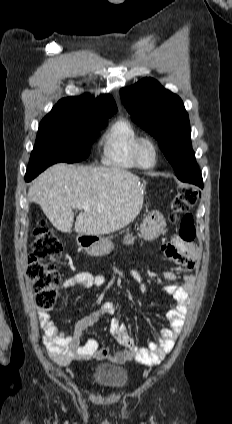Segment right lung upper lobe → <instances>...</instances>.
I'll use <instances>...</instances> for the list:
<instances>
[{"instance_id":"right-lung-upper-lobe-1","label":"right lung upper lobe","mask_w":232,"mask_h":424,"mask_svg":"<svg viewBox=\"0 0 232 424\" xmlns=\"http://www.w3.org/2000/svg\"><path fill=\"white\" fill-rule=\"evenodd\" d=\"M116 111V103L110 95H102L97 99L83 95L61 99L50 113H70L99 120L112 116Z\"/></svg>"}]
</instances>
